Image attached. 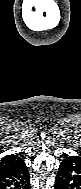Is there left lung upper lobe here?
<instances>
[{
  "instance_id": "5c2ea615",
  "label": "left lung upper lobe",
  "mask_w": 81,
  "mask_h": 189,
  "mask_svg": "<svg viewBox=\"0 0 81 189\" xmlns=\"http://www.w3.org/2000/svg\"><path fill=\"white\" fill-rule=\"evenodd\" d=\"M74 157L81 161V158H80V157H77V156H74Z\"/></svg>"
}]
</instances>
